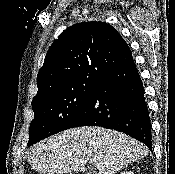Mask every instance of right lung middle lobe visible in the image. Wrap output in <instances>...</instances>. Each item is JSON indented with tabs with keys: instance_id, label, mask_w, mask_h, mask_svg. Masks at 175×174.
Returning <instances> with one entry per match:
<instances>
[{
	"instance_id": "1",
	"label": "right lung middle lobe",
	"mask_w": 175,
	"mask_h": 174,
	"mask_svg": "<svg viewBox=\"0 0 175 174\" xmlns=\"http://www.w3.org/2000/svg\"><path fill=\"white\" fill-rule=\"evenodd\" d=\"M94 86L65 91L32 104L35 117L30 124L27 145L67 129L82 110Z\"/></svg>"
}]
</instances>
